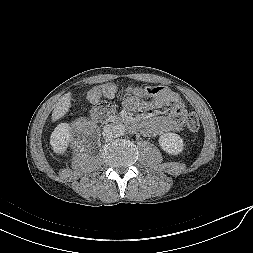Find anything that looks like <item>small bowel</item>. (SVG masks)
Masks as SVG:
<instances>
[{"mask_svg": "<svg viewBox=\"0 0 253 253\" xmlns=\"http://www.w3.org/2000/svg\"><path fill=\"white\" fill-rule=\"evenodd\" d=\"M148 97H150L148 100L140 96L129 97L124 101V107L135 112L154 111L170 107V112L166 117L155 116L147 119L142 125L143 132L148 136H157L180 130L186 114L181 97L168 89L161 95ZM100 105L111 110L118 108V103L108 98H102Z\"/></svg>", "mask_w": 253, "mask_h": 253, "instance_id": "c3829d8e", "label": "small bowel"}]
</instances>
